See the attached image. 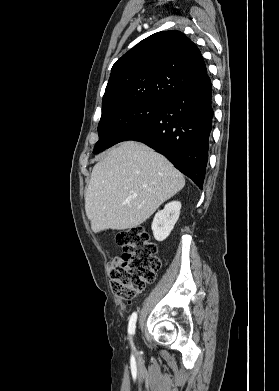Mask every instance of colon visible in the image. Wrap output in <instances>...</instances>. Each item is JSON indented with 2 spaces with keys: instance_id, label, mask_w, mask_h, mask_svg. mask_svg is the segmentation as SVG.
Segmentation results:
<instances>
[{
  "instance_id": "colon-1",
  "label": "colon",
  "mask_w": 279,
  "mask_h": 391,
  "mask_svg": "<svg viewBox=\"0 0 279 391\" xmlns=\"http://www.w3.org/2000/svg\"><path fill=\"white\" fill-rule=\"evenodd\" d=\"M115 239L123 251L110 272L111 288L116 296L130 302L155 281L161 261L157 245L143 227L119 231Z\"/></svg>"
}]
</instances>
